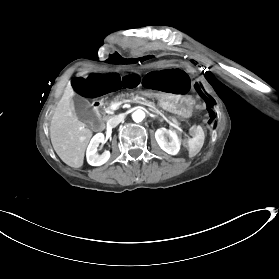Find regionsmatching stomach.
Instances as JSON below:
<instances>
[{
	"instance_id": "1",
	"label": "stomach",
	"mask_w": 279,
	"mask_h": 279,
	"mask_svg": "<svg viewBox=\"0 0 279 279\" xmlns=\"http://www.w3.org/2000/svg\"><path fill=\"white\" fill-rule=\"evenodd\" d=\"M158 107L162 111L169 110L170 115L175 119L186 117L192 110V100L190 98H165L163 94L156 96Z\"/></svg>"
}]
</instances>
